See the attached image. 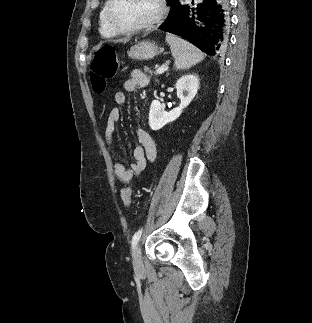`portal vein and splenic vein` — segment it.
Returning a JSON list of instances; mask_svg holds the SVG:
<instances>
[{"mask_svg":"<svg viewBox=\"0 0 312 323\" xmlns=\"http://www.w3.org/2000/svg\"><path fill=\"white\" fill-rule=\"evenodd\" d=\"M166 70H168L166 66H161V68H158L157 74H163V72H166Z\"/></svg>","mask_w":312,"mask_h":323,"instance_id":"portal-vein-and-splenic-vein-1","label":"portal vein and splenic vein"}]
</instances>
